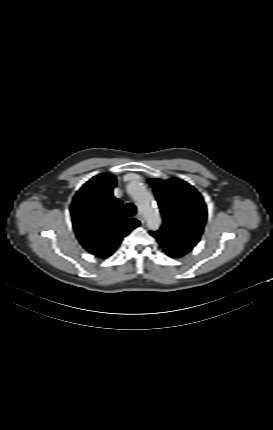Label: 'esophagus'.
<instances>
[{
	"mask_svg": "<svg viewBox=\"0 0 273 430\" xmlns=\"http://www.w3.org/2000/svg\"><path fill=\"white\" fill-rule=\"evenodd\" d=\"M137 219L143 224L145 222L144 217L141 213L137 215Z\"/></svg>",
	"mask_w": 273,
	"mask_h": 430,
	"instance_id": "1",
	"label": "esophagus"
}]
</instances>
